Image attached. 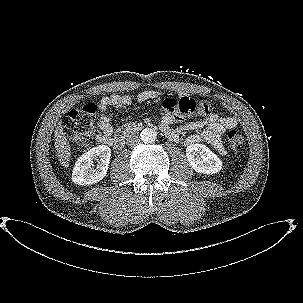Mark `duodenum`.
Here are the masks:
<instances>
[{
	"instance_id": "1",
	"label": "duodenum",
	"mask_w": 303,
	"mask_h": 303,
	"mask_svg": "<svg viewBox=\"0 0 303 303\" xmlns=\"http://www.w3.org/2000/svg\"><path fill=\"white\" fill-rule=\"evenodd\" d=\"M140 127L134 126V125H130L128 126L126 129H124L118 136L112 138L109 140V145H111L112 147H114L117 150H120L122 148V146L124 145L126 136L130 133L133 132H137L140 131ZM163 131V130H162ZM165 133V135L169 138V139H173L175 138V133H173L172 131H163Z\"/></svg>"
}]
</instances>
